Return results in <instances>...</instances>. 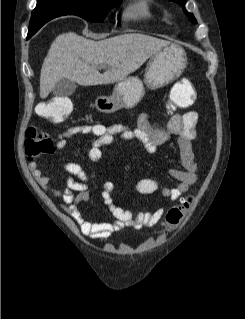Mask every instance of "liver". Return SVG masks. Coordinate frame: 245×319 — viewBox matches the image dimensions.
Listing matches in <instances>:
<instances>
[{
	"instance_id": "6515ba94",
	"label": "liver",
	"mask_w": 245,
	"mask_h": 319,
	"mask_svg": "<svg viewBox=\"0 0 245 319\" xmlns=\"http://www.w3.org/2000/svg\"><path fill=\"white\" fill-rule=\"evenodd\" d=\"M169 44V41L140 33L122 34L101 41L86 39L74 32L63 33L52 42L43 61L40 97L46 98L63 78L82 86L121 81ZM98 65L109 68L100 74Z\"/></svg>"
}]
</instances>
